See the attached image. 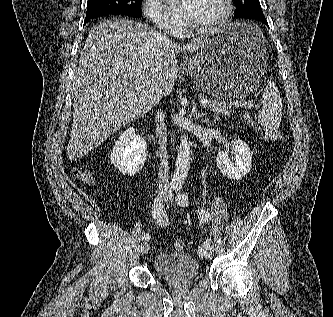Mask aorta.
<instances>
[{
	"mask_svg": "<svg viewBox=\"0 0 333 317\" xmlns=\"http://www.w3.org/2000/svg\"><path fill=\"white\" fill-rule=\"evenodd\" d=\"M190 167V142L187 135L180 140L176 158V168L173 176V183L181 185L184 183Z\"/></svg>",
	"mask_w": 333,
	"mask_h": 317,
	"instance_id": "obj_1",
	"label": "aorta"
}]
</instances>
